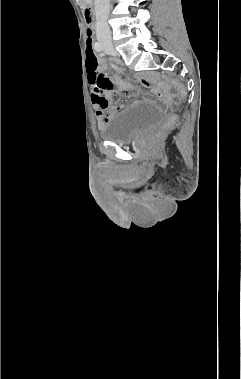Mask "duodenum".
<instances>
[{"label":"duodenum","instance_id":"1","mask_svg":"<svg viewBox=\"0 0 241 379\" xmlns=\"http://www.w3.org/2000/svg\"><path fill=\"white\" fill-rule=\"evenodd\" d=\"M84 14L87 22L91 23L94 18V13H93V5L91 2H87L84 6Z\"/></svg>","mask_w":241,"mask_h":379}]
</instances>
